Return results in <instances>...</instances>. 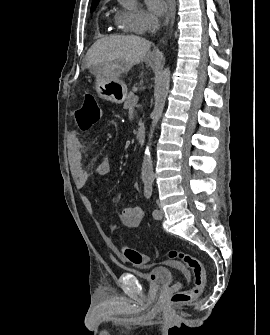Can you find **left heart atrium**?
<instances>
[{"label": "left heart atrium", "instance_id": "1", "mask_svg": "<svg viewBox=\"0 0 270 335\" xmlns=\"http://www.w3.org/2000/svg\"><path fill=\"white\" fill-rule=\"evenodd\" d=\"M147 5L155 16H162L165 12V5L161 0H148Z\"/></svg>", "mask_w": 270, "mask_h": 335}]
</instances>
